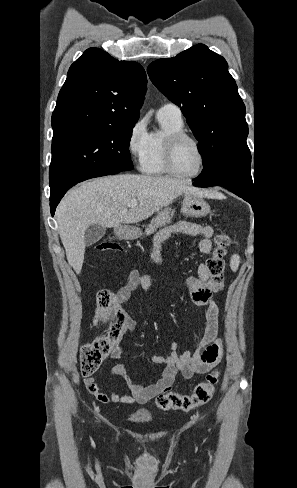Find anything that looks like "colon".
Masks as SVG:
<instances>
[{"mask_svg":"<svg viewBox=\"0 0 297 488\" xmlns=\"http://www.w3.org/2000/svg\"><path fill=\"white\" fill-rule=\"evenodd\" d=\"M230 239L225 234H220L215 239V248L212 256L207 261V269L210 279L221 284L225 267L226 250ZM99 251H121L120 245L103 241L96 245ZM97 314L109 322V327L104 335L93 343L82 346L80 350V369L83 376L88 377L94 374L102 364L103 360L112 353L114 346L122 335L123 313L118 309L114 294L103 289L97 293ZM220 379V372H210L206 379L197 383L190 393L168 391L157 398V407L161 410H182L188 411L194 407L207 403L214 395L216 386Z\"/></svg>","mask_w":297,"mask_h":488,"instance_id":"5ec220e1","label":"colon"}]
</instances>
